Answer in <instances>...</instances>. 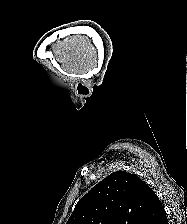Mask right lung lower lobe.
I'll list each match as a JSON object with an SVG mask.
<instances>
[{
  "instance_id": "right-lung-lower-lobe-1",
  "label": "right lung lower lobe",
  "mask_w": 187,
  "mask_h": 224,
  "mask_svg": "<svg viewBox=\"0 0 187 224\" xmlns=\"http://www.w3.org/2000/svg\"><path fill=\"white\" fill-rule=\"evenodd\" d=\"M162 224H168L167 218L165 219V221Z\"/></svg>"
}]
</instances>
